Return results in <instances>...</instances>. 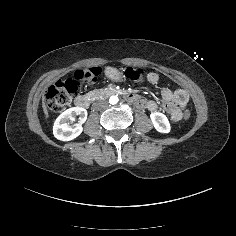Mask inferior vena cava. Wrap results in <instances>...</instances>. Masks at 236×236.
Returning <instances> with one entry per match:
<instances>
[{"label":"inferior vena cava","mask_w":236,"mask_h":236,"mask_svg":"<svg viewBox=\"0 0 236 236\" xmlns=\"http://www.w3.org/2000/svg\"><path fill=\"white\" fill-rule=\"evenodd\" d=\"M107 105L106 101L101 100L93 104L94 109L99 110Z\"/></svg>","instance_id":"1"}]
</instances>
